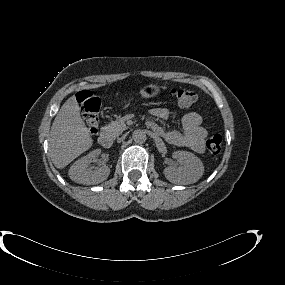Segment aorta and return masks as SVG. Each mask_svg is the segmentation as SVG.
I'll return each mask as SVG.
<instances>
[{
    "mask_svg": "<svg viewBox=\"0 0 285 285\" xmlns=\"http://www.w3.org/2000/svg\"><path fill=\"white\" fill-rule=\"evenodd\" d=\"M132 137H133V140L138 144H142L147 140V136H146L145 131L140 130V129L135 130L133 132Z\"/></svg>",
    "mask_w": 285,
    "mask_h": 285,
    "instance_id": "1",
    "label": "aorta"
}]
</instances>
